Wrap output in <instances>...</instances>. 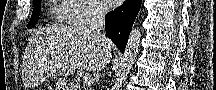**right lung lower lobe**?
<instances>
[{"mask_svg":"<svg viewBox=\"0 0 216 90\" xmlns=\"http://www.w3.org/2000/svg\"><path fill=\"white\" fill-rule=\"evenodd\" d=\"M141 0H127L105 16L106 35L124 53L134 20L140 10Z\"/></svg>","mask_w":216,"mask_h":90,"instance_id":"obj_1","label":"right lung lower lobe"}]
</instances>
